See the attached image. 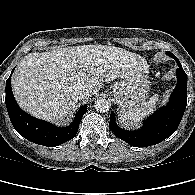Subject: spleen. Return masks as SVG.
<instances>
[{"instance_id": "spleen-1", "label": "spleen", "mask_w": 195, "mask_h": 195, "mask_svg": "<svg viewBox=\"0 0 195 195\" xmlns=\"http://www.w3.org/2000/svg\"><path fill=\"white\" fill-rule=\"evenodd\" d=\"M158 97L159 95L155 94L138 107L127 110L123 114V120L129 125H137L143 118L153 113L159 101Z\"/></svg>"}]
</instances>
